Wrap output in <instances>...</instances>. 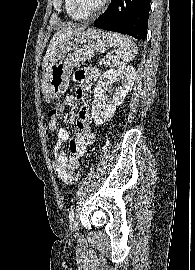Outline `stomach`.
Masks as SVG:
<instances>
[{
	"instance_id": "obj_1",
	"label": "stomach",
	"mask_w": 195,
	"mask_h": 270,
	"mask_svg": "<svg viewBox=\"0 0 195 270\" xmlns=\"http://www.w3.org/2000/svg\"><path fill=\"white\" fill-rule=\"evenodd\" d=\"M107 33L89 28L63 38L55 58L44 69L42 92L48 99L61 97L67 90L72 70L82 61L110 46Z\"/></svg>"
}]
</instances>
